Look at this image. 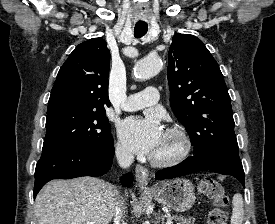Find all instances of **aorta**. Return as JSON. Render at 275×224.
Returning a JSON list of instances; mask_svg holds the SVG:
<instances>
[{"label":"aorta","instance_id":"1","mask_svg":"<svg viewBox=\"0 0 275 224\" xmlns=\"http://www.w3.org/2000/svg\"><path fill=\"white\" fill-rule=\"evenodd\" d=\"M162 60L157 56L146 57L134 66V75L137 79L145 80L156 75L162 69Z\"/></svg>","mask_w":275,"mask_h":224}]
</instances>
